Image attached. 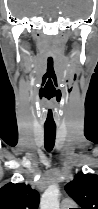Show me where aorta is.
<instances>
[{
  "instance_id": "1",
  "label": "aorta",
  "mask_w": 98,
  "mask_h": 209,
  "mask_svg": "<svg viewBox=\"0 0 98 209\" xmlns=\"http://www.w3.org/2000/svg\"><path fill=\"white\" fill-rule=\"evenodd\" d=\"M59 194L58 185L49 186L41 196L40 209H59Z\"/></svg>"
}]
</instances>
